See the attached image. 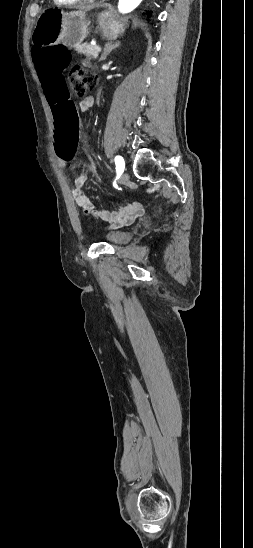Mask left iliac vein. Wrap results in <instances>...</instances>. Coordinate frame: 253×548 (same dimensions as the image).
I'll list each match as a JSON object with an SVG mask.
<instances>
[{"instance_id":"obj_1","label":"left iliac vein","mask_w":253,"mask_h":548,"mask_svg":"<svg viewBox=\"0 0 253 548\" xmlns=\"http://www.w3.org/2000/svg\"><path fill=\"white\" fill-rule=\"evenodd\" d=\"M129 180V175L127 173H123L120 177L121 183H126Z\"/></svg>"}]
</instances>
